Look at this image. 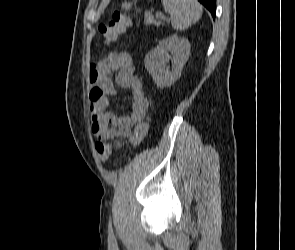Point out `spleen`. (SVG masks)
I'll use <instances>...</instances> for the list:
<instances>
[{"label":"spleen","instance_id":"spleen-1","mask_svg":"<svg viewBox=\"0 0 295 250\" xmlns=\"http://www.w3.org/2000/svg\"><path fill=\"white\" fill-rule=\"evenodd\" d=\"M165 12L171 16L172 27L183 30L196 23L202 15V6L197 0H161Z\"/></svg>","mask_w":295,"mask_h":250}]
</instances>
